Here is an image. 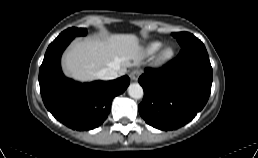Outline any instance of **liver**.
<instances>
[{
	"instance_id": "obj_1",
	"label": "liver",
	"mask_w": 258,
	"mask_h": 158,
	"mask_svg": "<svg viewBox=\"0 0 258 158\" xmlns=\"http://www.w3.org/2000/svg\"><path fill=\"white\" fill-rule=\"evenodd\" d=\"M142 51L134 34H112L103 38L74 41L64 54L65 73L78 81L97 79V73L108 67H118V74L127 67L139 65Z\"/></svg>"
}]
</instances>
